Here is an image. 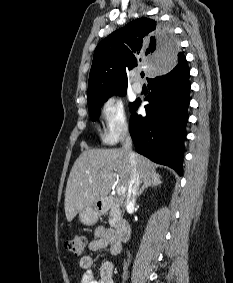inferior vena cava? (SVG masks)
I'll return each instance as SVG.
<instances>
[{
    "instance_id": "1",
    "label": "inferior vena cava",
    "mask_w": 233,
    "mask_h": 283,
    "mask_svg": "<svg viewBox=\"0 0 233 283\" xmlns=\"http://www.w3.org/2000/svg\"><path fill=\"white\" fill-rule=\"evenodd\" d=\"M122 145H123V149L129 153V158L131 163V177H130V183L127 194V206H134L138 193V188L141 181L136 169V161L133 152L131 150L132 141L128 132H126L123 136Z\"/></svg>"
}]
</instances>
